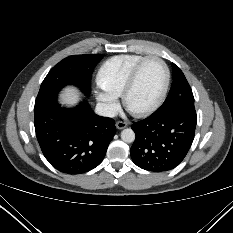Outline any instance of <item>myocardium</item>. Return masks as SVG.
I'll list each match as a JSON object with an SVG mask.
<instances>
[{"instance_id": "myocardium-1", "label": "myocardium", "mask_w": 233, "mask_h": 233, "mask_svg": "<svg viewBox=\"0 0 233 233\" xmlns=\"http://www.w3.org/2000/svg\"><path fill=\"white\" fill-rule=\"evenodd\" d=\"M149 60L158 61L164 69L165 81H164L162 91H161L159 97L156 99V101L154 103H152L150 106L143 108V109H140V110H131L128 106V96L136 84V81H137V78H138V75H139V72H140L142 66ZM170 79H171V74H170L169 67L162 58L155 56V55L145 56L133 67V69L131 70V72L128 76L126 84H125L123 91L121 93L124 106L132 114H134L136 116H147V115L152 114L163 104V102L167 96L168 90H169Z\"/></svg>"}]
</instances>
